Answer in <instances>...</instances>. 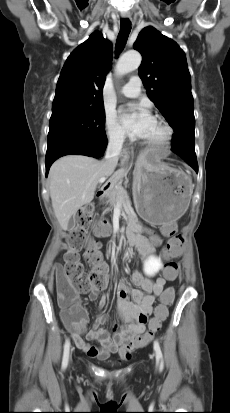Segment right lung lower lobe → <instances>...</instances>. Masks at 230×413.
<instances>
[{
    "label": "right lung lower lobe",
    "instance_id": "1",
    "mask_svg": "<svg viewBox=\"0 0 230 413\" xmlns=\"http://www.w3.org/2000/svg\"><path fill=\"white\" fill-rule=\"evenodd\" d=\"M107 146V140L101 143H74V144H64L46 153V176L48 175L50 166L58 158L69 155H85L90 157L99 158L103 155Z\"/></svg>",
    "mask_w": 230,
    "mask_h": 413
}]
</instances>
